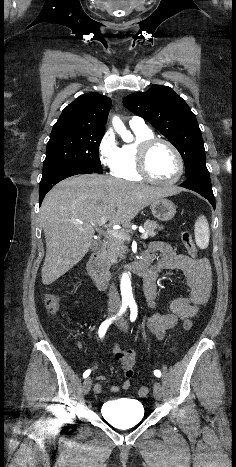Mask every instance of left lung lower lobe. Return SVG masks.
<instances>
[{"label":"left lung lower lobe","mask_w":236,"mask_h":467,"mask_svg":"<svg viewBox=\"0 0 236 467\" xmlns=\"http://www.w3.org/2000/svg\"><path fill=\"white\" fill-rule=\"evenodd\" d=\"M180 186L193 190L206 199L212 204L215 209V197L213 195L212 186L210 182L209 172H202L195 174L182 183Z\"/></svg>","instance_id":"obj_1"}]
</instances>
